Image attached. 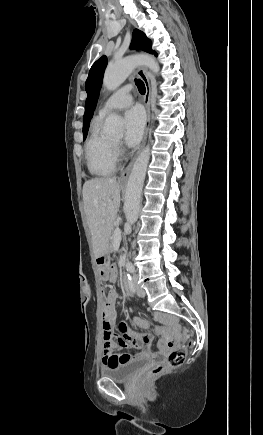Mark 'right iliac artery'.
<instances>
[{"label":"right iliac artery","instance_id":"obj_1","mask_svg":"<svg viewBox=\"0 0 263 435\" xmlns=\"http://www.w3.org/2000/svg\"><path fill=\"white\" fill-rule=\"evenodd\" d=\"M127 281H128V283H129V286H130V291L131 292H135V287H134V283H133V280H132V276L130 275V274H127Z\"/></svg>","mask_w":263,"mask_h":435}]
</instances>
